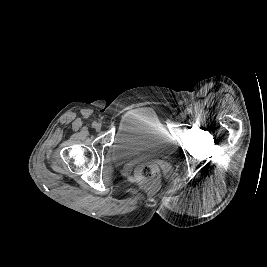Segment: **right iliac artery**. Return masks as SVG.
Listing matches in <instances>:
<instances>
[{"label": "right iliac artery", "mask_w": 267, "mask_h": 267, "mask_svg": "<svg viewBox=\"0 0 267 267\" xmlns=\"http://www.w3.org/2000/svg\"><path fill=\"white\" fill-rule=\"evenodd\" d=\"M96 125H97V123H96V122H93V123H92V126H93V127H95Z\"/></svg>", "instance_id": "obj_1"}]
</instances>
